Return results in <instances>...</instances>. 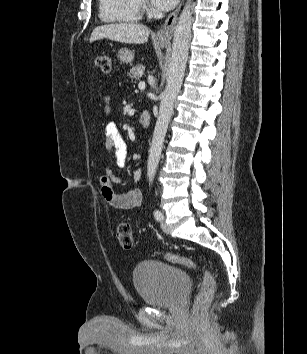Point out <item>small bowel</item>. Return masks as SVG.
<instances>
[{
    "label": "small bowel",
    "instance_id": "obj_1",
    "mask_svg": "<svg viewBox=\"0 0 307 354\" xmlns=\"http://www.w3.org/2000/svg\"><path fill=\"white\" fill-rule=\"evenodd\" d=\"M104 113L108 115L110 112V97L105 95L103 97ZM104 146L112 152L115 158V163L118 167H124L128 157V145L122 136L118 126L114 122H108L104 129ZM142 172L140 169L134 172L136 181L140 180ZM121 182V177L114 171L108 169L106 173L101 176L100 184L101 191L105 201L113 208L121 210L135 209L142 204V193L139 189H133L126 193H116L113 190V184Z\"/></svg>",
    "mask_w": 307,
    "mask_h": 354
}]
</instances>
